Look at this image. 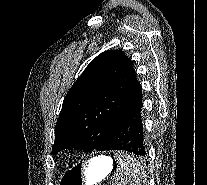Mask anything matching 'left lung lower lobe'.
Returning a JSON list of instances; mask_svg holds the SVG:
<instances>
[{"mask_svg": "<svg viewBox=\"0 0 207 185\" xmlns=\"http://www.w3.org/2000/svg\"><path fill=\"white\" fill-rule=\"evenodd\" d=\"M141 109L142 96L114 123L102 146V151L124 150L136 155H145Z\"/></svg>", "mask_w": 207, "mask_h": 185, "instance_id": "left-lung-lower-lobe-1", "label": "left lung lower lobe"}]
</instances>
